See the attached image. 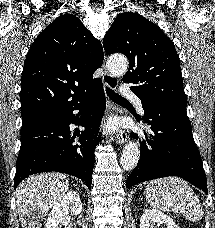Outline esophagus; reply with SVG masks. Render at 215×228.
Here are the masks:
<instances>
[{"label": "esophagus", "mask_w": 215, "mask_h": 228, "mask_svg": "<svg viewBox=\"0 0 215 228\" xmlns=\"http://www.w3.org/2000/svg\"><path fill=\"white\" fill-rule=\"evenodd\" d=\"M102 68L104 70V74L102 76L104 85L112 90H116V88L118 86V79L114 75H111V73H109L106 70L105 57H104V62H103ZM127 138H128V135H127L126 131L122 130L119 133H117L116 143L121 145L122 143H125Z\"/></svg>", "instance_id": "1"}]
</instances>
